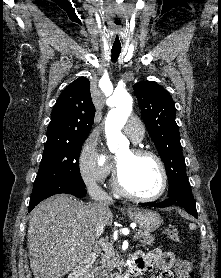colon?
I'll return each instance as SVG.
<instances>
[{
	"label": "colon",
	"instance_id": "colon-1",
	"mask_svg": "<svg viewBox=\"0 0 221 278\" xmlns=\"http://www.w3.org/2000/svg\"><path fill=\"white\" fill-rule=\"evenodd\" d=\"M166 236L174 243L181 242L180 234L176 229H168ZM176 275L177 278H193L194 273L189 263L180 262L177 266Z\"/></svg>",
	"mask_w": 221,
	"mask_h": 278
}]
</instances>
